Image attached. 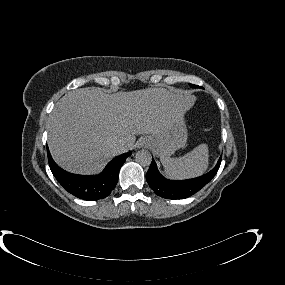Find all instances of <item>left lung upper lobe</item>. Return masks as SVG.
<instances>
[{"instance_id":"left-lung-upper-lobe-1","label":"left lung upper lobe","mask_w":285,"mask_h":285,"mask_svg":"<svg viewBox=\"0 0 285 285\" xmlns=\"http://www.w3.org/2000/svg\"><path fill=\"white\" fill-rule=\"evenodd\" d=\"M190 86L193 87V88L199 87V86H196V85H193V84H190Z\"/></svg>"}]
</instances>
